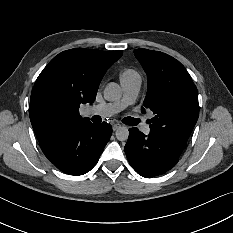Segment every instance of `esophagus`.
<instances>
[{"instance_id":"1","label":"esophagus","mask_w":233,"mask_h":233,"mask_svg":"<svg viewBox=\"0 0 233 233\" xmlns=\"http://www.w3.org/2000/svg\"><path fill=\"white\" fill-rule=\"evenodd\" d=\"M119 128H121V124H119V123H116V124H114V125L112 126L113 131H116V130H118Z\"/></svg>"}]
</instances>
